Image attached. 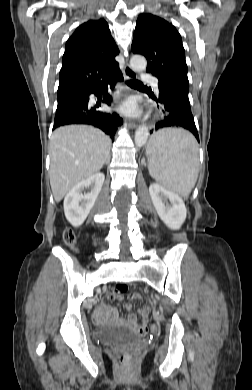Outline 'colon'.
<instances>
[{
  "label": "colon",
  "instance_id": "colon-1",
  "mask_svg": "<svg viewBox=\"0 0 252 390\" xmlns=\"http://www.w3.org/2000/svg\"><path fill=\"white\" fill-rule=\"evenodd\" d=\"M63 240H64V243L66 245L72 246L75 242V235H74L73 231L70 229L65 230L64 234H63ZM115 291L123 294L127 291V286L123 285V284H119L116 286ZM129 297L131 300H140V298H141L139 293H131ZM130 356L131 355H130L129 351H123L120 353L119 358L122 362H125V361H128L130 359Z\"/></svg>",
  "mask_w": 252,
  "mask_h": 390
}]
</instances>
